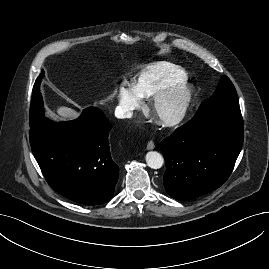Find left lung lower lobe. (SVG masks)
Returning <instances> with one entry per match:
<instances>
[{
	"instance_id": "0a47b994",
	"label": "left lung lower lobe",
	"mask_w": 269,
	"mask_h": 269,
	"mask_svg": "<svg viewBox=\"0 0 269 269\" xmlns=\"http://www.w3.org/2000/svg\"><path fill=\"white\" fill-rule=\"evenodd\" d=\"M203 103L189 122L160 144L166 161L164 187L176 200L195 199L224 184L242 147L240 106L204 111Z\"/></svg>"
}]
</instances>
